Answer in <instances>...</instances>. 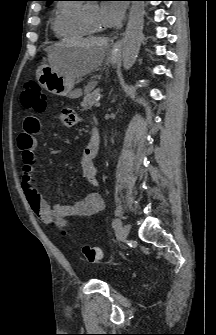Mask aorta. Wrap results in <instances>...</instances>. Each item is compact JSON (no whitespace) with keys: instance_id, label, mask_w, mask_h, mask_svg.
Returning <instances> with one entry per match:
<instances>
[{"instance_id":"762f6f07","label":"aorta","mask_w":216,"mask_h":335,"mask_svg":"<svg viewBox=\"0 0 216 335\" xmlns=\"http://www.w3.org/2000/svg\"><path fill=\"white\" fill-rule=\"evenodd\" d=\"M144 14V2H132L122 44V64L125 70H129L138 57L143 37Z\"/></svg>"}]
</instances>
